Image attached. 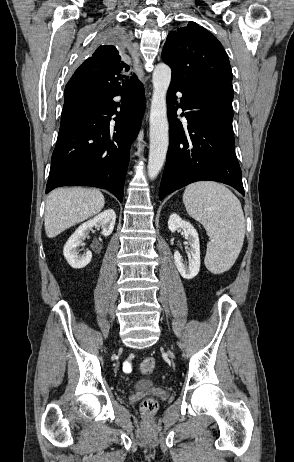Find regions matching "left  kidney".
<instances>
[{
    "label": "left kidney",
    "mask_w": 294,
    "mask_h": 462,
    "mask_svg": "<svg viewBox=\"0 0 294 462\" xmlns=\"http://www.w3.org/2000/svg\"><path fill=\"white\" fill-rule=\"evenodd\" d=\"M168 228L171 232H175L179 228L184 231V236L190 245L189 265L183 262L182 256L178 251L174 252L175 265L185 279L194 278L200 270V243L196 229L187 221L177 214H171L168 220Z\"/></svg>",
    "instance_id": "1"
}]
</instances>
